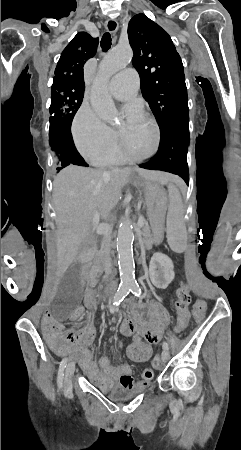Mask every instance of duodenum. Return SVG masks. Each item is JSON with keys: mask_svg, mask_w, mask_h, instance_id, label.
Segmentation results:
<instances>
[{"mask_svg": "<svg viewBox=\"0 0 241 450\" xmlns=\"http://www.w3.org/2000/svg\"><path fill=\"white\" fill-rule=\"evenodd\" d=\"M82 280L85 284L92 285L93 279H92L90 271H88V270L83 271ZM115 288H116V282L111 281L106 285L105 293L107 295H111L113 293V291L115 290Z\"/></svg>", "mask_w": 241, "mask_h": 450, "instance_id": "duodenum-1", "label": "duodenum"}]
</instances>
